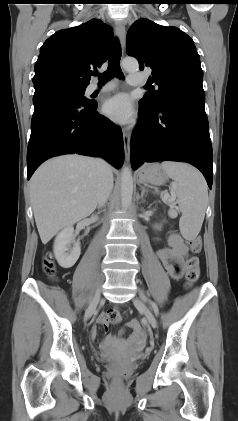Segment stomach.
<instances>
[{
  "label": "stomach",
  "instance_id": "1",
  "mask_svg": "<svg viewBox=\"0 0 238 421\" xmlns=\"http://www.w3.org/2000/svg\"><path fill=\"white\" fill-rule=\"evenodd\" d=\"M138 177L141 182L155 186L163 185L167 181V174L158 163H150L143 166L138 172Z\"/></svg>",
  "mask_w": 238,
  "mask_h": 421
}]
</instances>
